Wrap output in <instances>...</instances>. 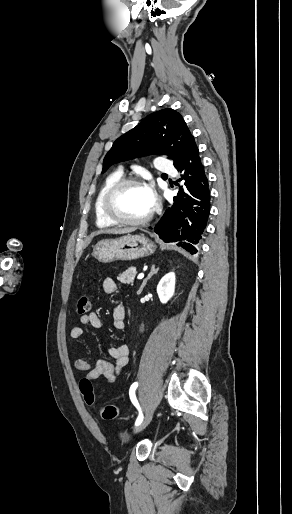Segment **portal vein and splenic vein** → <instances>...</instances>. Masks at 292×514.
I'll list each match as a JSON object with an SVG mask.
<instances>
[{"label": "portal vein and splenic vein", "instance_id": "18ae733b", "mask_svg": "<svg viewBox=\"0 0 292 514\" xmlns=\"http://www.w3.org/2000/svg\"><path fill=\"white\" fill-rule=\"evenodd\" d=\"M142 278H144V274H139V276H137V280H142Z\"/></svg>", "mask_w": 292, "mask_h": 514}]
</instances>
